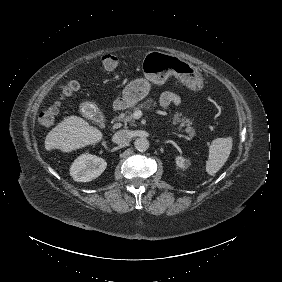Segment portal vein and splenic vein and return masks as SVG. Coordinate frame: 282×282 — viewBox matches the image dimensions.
I'll return each instance as SVG.
<instances>
[{"label": "portal vein and splenic vein", "mask_w": 282, "mask_h": 282, "mask_svg": "<svg viewBox=\"0 0 282 282\" xmlns=\"http://www.w3.org/2000/svg\"><path fill=\"white\" fill-rule=\"evenodd\" d=\"M134 116L136 119H143L144 118V113L141 112L140 110H137L135 113H134Z\"/></svg>", "instance_id": "1"}]
</instances>
